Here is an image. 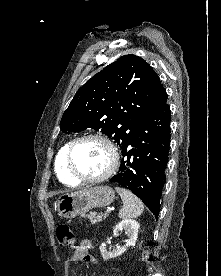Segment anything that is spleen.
Segmentation results:
<instances>
[{
	"mask_svg": "<svg viewBox=\"0 0 221 276\" xmlns=\"http://www.w3.org/2000/svg\"><path fill=\"white\" fill-rule=\"evenodd\" d=\"M115 189L123 201V206L118 213L119 218L129 219L140 216L144 210L141 200L127 189L121 187Z\"/></svg>",
	"mask_w": 221,
	"mask_h": 276,
	"instance_id": "1",
	"label": "spleen"
}]
</instances>
